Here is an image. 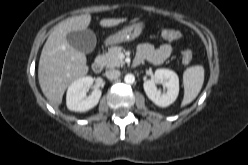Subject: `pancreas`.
Segmentation results:
<instances>
[{"label":"pancreas","instance_id":"obj_1","mask_svg":"<svg viewBox=\"0 0 248 165\" xmlns=\"http://www.w3.org/2000/svg\"><path fill=\"white\" fill-rule=\"evenodd\" d=\"M123 48L120 46H112L109 48L106 54L102 55V60L107 68L120 67L125 64V62L119 58L122 53Z\"/></svg>","mask_w":248,"mask_h":165}]
</instances>
